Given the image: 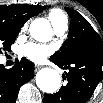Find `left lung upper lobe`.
<instances>
[{
  "label": "left lung upper lobe",
  "instance_id": "obj_1",
  "mask_svg": "<svg viewBox=\"0 0 103 103\" xmlns=\"http://www.w3.org/2000/svg\"><path fill=\"white\" fill-rule=\"evenodd\" d=\"M71 18L68 39L63 43L52 59L60 62H67L76 55L88 56L89 43H101L99 34L93 29L90 23L73 9L65 8Z\"/></svg>",
  "mask_w": 103,
  "mask_h": 103
}]
</instances>
